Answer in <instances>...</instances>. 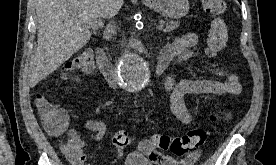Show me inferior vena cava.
Returning a JSON list of instances; mask_svg holds the SVG:
<instances>
[{"instance_id": "1", "label": "inferior vena cava", "mask_w": 276, "mask_h": 165, "mask_svg": "<svg viewBox=\"0 0 276 165\" xmlns=\"http://www.w3.org/2000/svg\"><path fill=\"white\" fill-rule=\"evenodd\" d=\"M114 30H115V26H111L109 31H110L111 33H113Z\"/></svg>"}]
</instances>
